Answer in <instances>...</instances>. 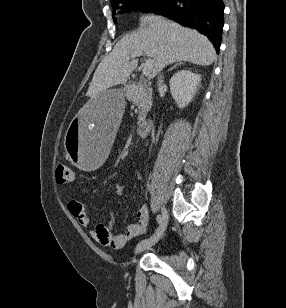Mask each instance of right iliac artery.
Instances as JSON below:
<instances>
[{
  "label": "right iliac artery",
  "instance_id": "82829eb1",
  "mask_svg": "<svg viewBox=\"0 0 286 308\" xmlns=\"http://www.w3.org/2000/svg\"><path fill=\"white\" fill-rule=\"evenodd\" d=\"M147 187H148V189H150V185H149V183H147ZM156 221H157V223L158 224H160L161 223V215H157V217H156ZM150 238V237H149ZM146 240V239H145ZM142 241H144V240H142Z\"/></svg>",
  "mask_w": 286,
  "mask_h": 308
}]
</instances>
